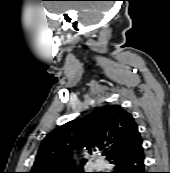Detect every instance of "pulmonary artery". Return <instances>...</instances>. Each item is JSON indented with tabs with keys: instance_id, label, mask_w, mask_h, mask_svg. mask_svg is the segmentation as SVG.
I'll list each match as a JSON object with an SVG mask.
<instances>
[{
	"instance_id": "e3ab8cb5",
	"label": "pulmonary artery",
	"mask_w": 170,
	"mask_h": 173,
	"mask_svg": "<svg viewBox=\"0 0 170 173\" xmlns=\"http://www.w3.org/2000/svg\"><path fill=\"white\" fill-rule=\"evenodd\" d=\"M101 164L100 163H97V166H100Z\"/></svg>"
}]
</instances>
